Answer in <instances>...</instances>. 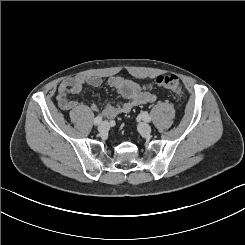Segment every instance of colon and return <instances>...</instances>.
<instances>
[{
	"mask_svg": "<svg viewBox=\"0 0 245 245\" xmlns=\"http://www.w3.org/2000/svg\"><path fill=\"white\" fill-rule=\"evenodd\" d=\"M155 84L179 96L182 95L183 93V86H182L181 81L176 75H173V74H166V75L158 76L155 79Z\"/></svg>",
	"mask_w": 245,
	"mask_h": 245,
	"instance_id": "colon-1",
	"label": "colon"
}]
</instances>
